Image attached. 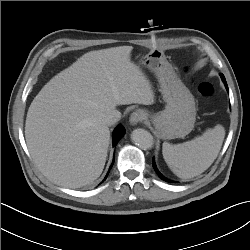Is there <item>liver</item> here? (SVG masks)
<instances>
[{
	"label": "liver",
	"instance_id": "6515ba94",
	"mask_svg": "<svg viewBox=\"0 0 250 250\" xmlns=\"http://www.w3.org/2000/svg\"><path fill=\"white\" fill-rule=\"evenodd\" d=\"M132 46L90 51L54 76L25 122L29 152L49 180L80 188L100 177L110 141L104 116L118 105H151L154 92L131 62Z\"/></svg>",
	"mask_w": 250,
	"mask_h": 250
}]
</instances>
